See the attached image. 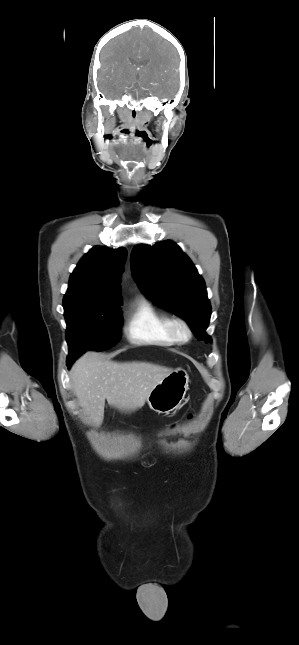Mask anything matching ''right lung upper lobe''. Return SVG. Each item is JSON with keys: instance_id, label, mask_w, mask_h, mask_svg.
<instances>
[{"instance_id": "1", "label": "right lung upper lobe", "mask_w": 299, "mask_h": 645, "mask_svg": "<svg viewBox=\"0 0 299 645\" xmlns=\"http://www.w3.org/2000/svg\"><path fill=\"white\" fill-rule=\"evenodd\" d=\"M127 250L92 248L78 263L70 276L63 299L68 303L116 304L120 303V275L123 272Z\"/></svg>"}]
</instances>
